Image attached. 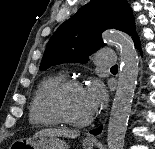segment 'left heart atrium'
<instances>
[{"label":"left heart atrium","mask_w":155,"mask_h":149,"mask_svg":"<svg viewBox=\"0 0 155 149\" xmlns=\"http://www.w3.org/2000/svg\"><path fill=\"white\" fill-rule=\"evenodd\" d=\"M84 95L91 114L99 111L106 103V92L99 81H93L85 88Z\"/></svg>","instance_id":"1"}]
</instances>
